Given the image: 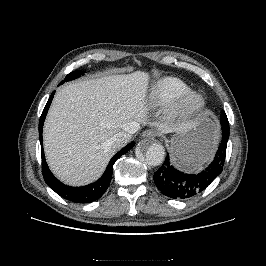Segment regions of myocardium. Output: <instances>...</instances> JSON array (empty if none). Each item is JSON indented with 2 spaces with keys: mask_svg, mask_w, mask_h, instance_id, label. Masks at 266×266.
<instances>
[{
  "mask_svg": "<svg viewBox=\"0 0 266 266\" xmlns=\"http://www.w3.org/2000/svg\"><path fill=\"white\" fill-rule=\"evenodd\" d=\"M206 106L204 96L197 91L188 90L180 95L173 103L172 110L187 116H194Z\"/></svg>",
  "mask_w": 266,
  "mask_h": 266,
  "instance_id": "obj_1",
  "label": "myocardium"
}]
</instances>
